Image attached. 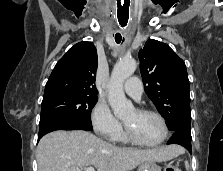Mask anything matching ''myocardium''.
<instances>
[{"label":"myocardium","mask_w":223,"mask_h":171,"mask_svg":"<svg viewBox=\"0 0 223 171\" xmlns=\"http://www.w3.org/2000/svg\"><path fill=\"white\" fill-rule=\"evenodd\" d=\"M135 111L139 114H150L157 117L162 124L163 135L161 139L155 143H145V142L140 141L138 138H136L134 134L128 129V127L124 124V135L127 138V140L135 145L142 146V147H149V148L157 147L161 145L162 143H164L169 135V126L164 116L156 110L145 108V107L136 108Z\"/></svg>","instance_id":"f54148a6"}]
</instances>
